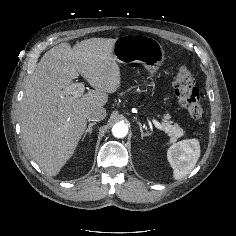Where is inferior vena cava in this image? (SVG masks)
I'll use <instances>...</instances> for the list:
<instances>
[{"mask_svg":"<svg viewBox=\"0 0 236 236\" xmlns=\"http://www.w3.org/2000/svg\"><path fill=\"white\" fill-rule=\"evenodd\" d=\"M106 117V110L101 106L91 108L87 114L86 118L88 121H101Z\"/></svg>","mask_w":236,"mask_h":236,"instance_id":"1","label":"inferior vena cava"}]
</instances>
